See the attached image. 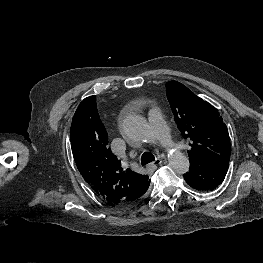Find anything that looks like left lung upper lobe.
<instances>
[{
  "label": "left lung upper lobe",
  "mask_w": 263,
  "mask_h": 263,
  "mask_svg": "<svg viewBox=\"0 0 263 263\" xmlns=\"http://www.w3.org/2000/svg\"><path fill=\"white\" fill-rule=\"evenodd\" d=\"M166 94L178 129L190 142V163H229V133L217 110L177 81L167 82Z\"/></svg>",
  "instance_id": "1"
}]
</instances>
